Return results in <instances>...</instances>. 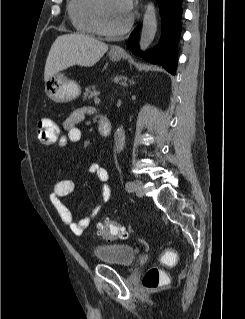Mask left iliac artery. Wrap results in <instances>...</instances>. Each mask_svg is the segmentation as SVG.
Segmentation results:
<instances>
[{
	"mask_svg": "<svg viewBox=\"0 0 245 319\" xmlns=\"http://www.w3.org/2000/svg\"><path fill=\"white\" fill-rule=\"evenodd\" d=\"M125 187H126V190L128 192H132L133 189H134V183L133 182H127Z\"/></svg>",
	"mask_w": 245,
	"mask_h": 319,
	"instance_id": "1",
	"label": "left iliac artery"
}]
</instances>
